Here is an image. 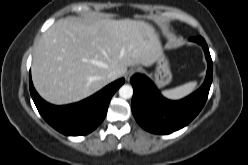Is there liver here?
Instances as JSON below:
<instances>
[{
  "mask_svg": "<svg viewBox=\"0 0 248 165\" xmlns=\"http://www.w3.org/2000/svg\"><path fill=\"white\" fill-rule=\"evenodd\" d=\"M161 52L158 33L144 21L60 19L35 47L32 80L46 101L69 104L108 85L111 71L121 77L128 66H150Z\"/></svg>",
  "mask_w": 248,
  "mask_h": 165,
  "instance_id": "1",
  "label": "liver"
}]
</instances>
